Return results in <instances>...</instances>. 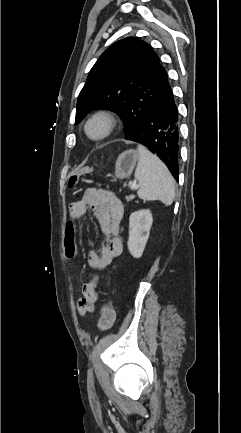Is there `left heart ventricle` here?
<instances>
[{"label":"left heart ventricle","mask_w":241,"mask_h":433,"mask_svg":"<svg viewBox=\"0 0 241 433\" xmlns=\"http://www.w3.org/2000/svg\"><path fill=\"white\" fill-rule=\"evenodd\" d=\"M100 131V126L98 124L93 125L91 128L92 133H98Z\"/></svg>","instance_id":"left-heart-ventricle-1"}]
</instances>
